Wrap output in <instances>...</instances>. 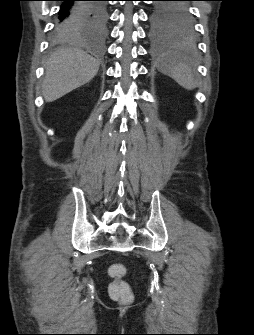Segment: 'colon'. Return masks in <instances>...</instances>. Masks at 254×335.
I'll return each instance as SVG.
<instances>
[{
	"label": "colon",
	"mask_w": 254,
	"mask_h": 335,
	"mask_svg": "<svg viewBox=\"0 0 254 335\" xmlns=\"http://www.w3.org/2000/svg\"><path fill=\"white\" fill-rule=\"evenodd\" d=\"M108 274L113 281L108 286V292L114 299L129 301L132 298V293L128 285L123 281L126 274V269L122 264H112L108 268Z\"/></svg>",
	"instance_id": "1"
}]
</instances>
